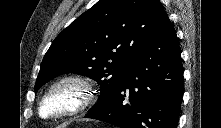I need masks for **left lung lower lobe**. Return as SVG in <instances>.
Returning <instances> with one entry per match:
<instances>
[{
	"instance_id": "left-lung-lower-lobe-1",
	"label": "left lung lower lobe",
	"mask_w": 221,
	"mask_h": 128,
	"mask_svg": "<svg viewBox=\"0 0 221 128\" xmlns=\"http://www.w3.org/2000/svg\"><path fill=\"white\" fill-rule=\"evenodd\" d=\"M180 54L168 19L132 61L111 99L85 118L119 128H176L184 91Z\"/></svg>"
}]
</instances>
